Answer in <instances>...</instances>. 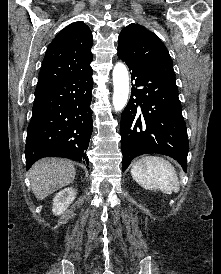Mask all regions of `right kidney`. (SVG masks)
<instances>
[{"mask_svg": "<svg viewBox=\"0 0 221 274\" xmlns=\"http://www.w3.org/2000/svg\"><path fill=\"white\" fill-rule=\"evenodd\" d=\"M76 194V190L72 187L65 188L58 192L53 198L52 212L55 215H61L74 201Z\"/></svg>", "mask_w": 221, "mask_h": 274, "instance_id": "ca27d5eb", "label": "right kidney"}]
</instances>
